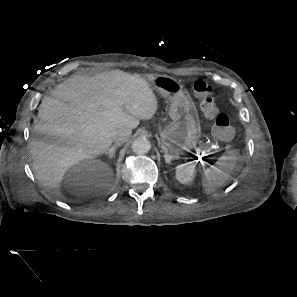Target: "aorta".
Returning <instances> with one entry per match:
<instances>
[{
    "label": "aorta",
    "mask_w": 297,
    "mask_h": 297,
    "mask_svg": "<svg viewBox=\"0 0 297 297\" xmlns=\"http://www.w3.org/2000/svg\"><path fill=\"white\" fill-rule=\"evenodd\" d=\"M131 148L132 151L136 154H144L151 149V144L148 139L139 138L133 141Z\"/></svg>",
    "instance_id": "1"
}]
</instances>
